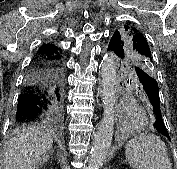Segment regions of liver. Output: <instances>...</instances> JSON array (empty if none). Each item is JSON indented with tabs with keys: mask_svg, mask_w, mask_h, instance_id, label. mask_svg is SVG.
I'll use <instances>...</instances> for the list:
<instances>
[{
	"mask_svg": "<svg viewBox=\"0 0 177 169\" xmlns=\"http://www.w3.org/2000/svg\"><path fill=\"white\" fill-rule=\"evenodd\" d=\"M53 136L45 127L28 128L7 142L2 169H38L49 158Z\"/></svg>",
	"mask_w": 177,
	"mask_h": 169,
	"instance_id": "1",
	"label": "liver"
}]
</instances>
